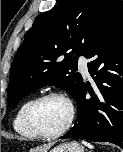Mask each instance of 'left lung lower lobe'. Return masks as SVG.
I'll return each instance as SVG.
<instances>
[{"label":"left lung lower lobe","mask_w":123,"mask_h":152,"mask_svg":"<svg viewBox=\"0 0 123 152\" xmlns=\"http://www.w3.org/2000/svg\"><path fill=\"white\" fill-rule=\"evenodd\" d=\"M87 58L96 83L93 90L82 84L75 97L78 108L73 128L60 139L83 138L111 142L123 148V3L108 18L101 36ZM91 98L86 99V91Z\"/></svg>","instance_id":"0a47b994"}]
</instances>
